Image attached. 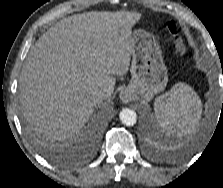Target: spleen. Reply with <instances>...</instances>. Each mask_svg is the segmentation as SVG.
Listing matches in <instances>:
<instances>
[{"label": "spleen", "mask_w": 223, "mask_h": 188, "mask_svg": "<svg viewBox=\"0 0 223 188\" xmlns=\"http://www.w3.org/2000/svg\"><path fill=\"white\" fill-rule=\"evenodd\" d=\"M154 110L159 125L179 136L193 132L202 114L199 96L184 83L175 84L170 91L157 97Z\"/></svg>", "instance_id": "1"}]
</instances>
